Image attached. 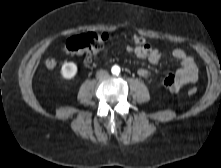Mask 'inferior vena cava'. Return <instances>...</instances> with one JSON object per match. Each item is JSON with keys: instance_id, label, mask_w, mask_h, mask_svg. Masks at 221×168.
<instances>
[{"instance_id": "602c4592", "label": "inferior vena cava", "mask_w": 221, "mask_h": 168, "mask_svg": "<svg viewBox=\"0 0 221 168\" xmlns=\"http://www.w3.org/2000/svg\"><path fill=\"white\" fill-rule=\"evenodd\" d=\"M108 76V72L106 70H99L96 73L97 79H102L104 77Z\"/></svg>"}]
</instances>
